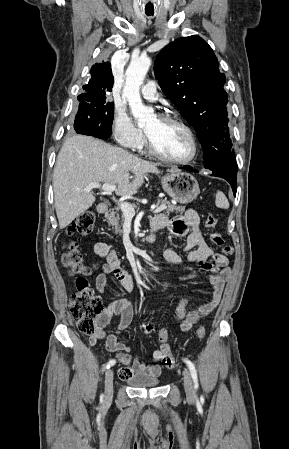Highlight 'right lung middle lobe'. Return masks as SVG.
Here are the masks:
<instances>
[{
	"label": "right lung middle lobe",
	"instance_id": "1",
	"mask_svg": "<svg viewBox=\"0 0 289 449\" xmlns=\"http://www.w3.org/2000/svg\"><path fill=\"white\" fill-rule=\"evenodd\" d=\"M80 101L75 117L74 129L77 133L92 132L106 137L111 135L114 103L105 93L78 96Z\"/></svg>",
	"mask_w": 289,
	"mask_h": 449
}]
</instances>
